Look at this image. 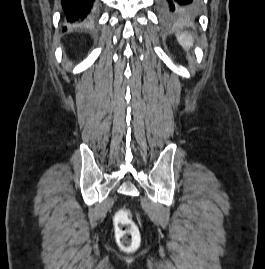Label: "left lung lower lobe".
<instances>
[{
  "instance_id": "left-lung-lower-lobe-1",
  "label": "left lung lower lobe",
  "mask_w": 265,
  "mask_h": 269,
  "mask_svg": "<svg viewBox=\"0 0 265 269\" xmlns=\"http://www.w3.org/2000/svg\"><path fill=\"white\" fill-rule=\"evenodd\" d=\"M161 17L166 23L195 17L200 10L199 0H157Z\"/></svg>"
}]
</instances>
